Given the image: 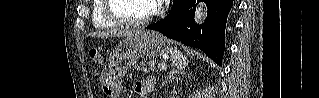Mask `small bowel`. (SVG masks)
I'll use <instances>...</instances> for the list:
<instances>
[{
  "label": "small bowel",
  "instance_id": "c3829d8e",
  "mask_svg": "<svg viewBox=\"0 0 319 98\" xmlns=\"http://www.w3.org/2000/svg\"><path fill=\"white\" fill-rule=\"evenodd\" d=\"M154 87V79L146 77L141 81H137L134 85L135 93L138 97L145 98Z\"/></svg>",
  "mask_w": 319,
  "mask_h": 98
}]
</instances>
